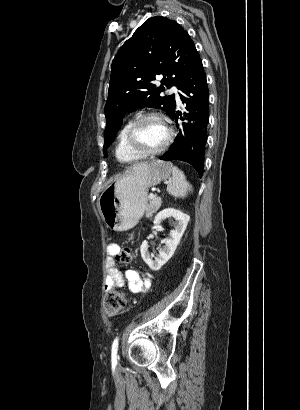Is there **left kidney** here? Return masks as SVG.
<instances>
[{
  "instance_id": "obj_1",
  "label": "left kidney",
  "mask_w": 300,
  "mask_h": 410,
  "mask_svg": "<svg viewBox=\"0 0 300 410\" xmlns=\"http://www.w3.org/2000/svg\"><path fill=\"white\" fill-rule=\"evenodd\" d=\"M166 218L175 219V229L170 231V238L162 240L164 246L159 250V255L153 259L152 254L148 251L149 245L146 240L142 242L140 247L144 262L153 271L159 270L172 257L190 220V217L182 211L174 208H166L155 216L153 223L156 227H160Z\"/></svg>"
}]
</instances>
